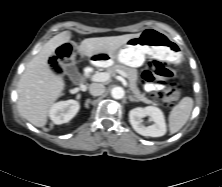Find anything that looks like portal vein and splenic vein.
<instances>
[{"mask_svg": "<svg viewBox=\"0 0 222 187\" xmlns=\"http://www.w3.org/2000/svg\"><path fill=\"white\" fill-rule=\"evenodd\" d=\"M118 73L125 78L127 77V74L123 71H118ZM109 79H110V74L107 72H100L91 76V81L93 82H105L108 81Z\"/></svg>", "mask_w": 222, "mask_h": 187, "instance_id": "18ae733b", "label": "portal vein and splenic vein"}]
</instances>
